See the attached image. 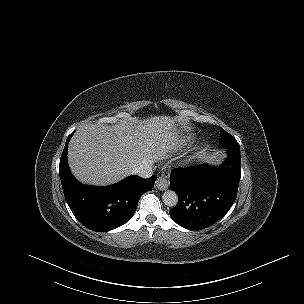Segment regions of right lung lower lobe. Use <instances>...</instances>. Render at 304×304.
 Wrapping results in <instances>:
<instances>
[{"mask_svg": "<svg viewBox=\"0 0 304 304\" xmlns=\"http://www.w3.org/2000/svg\"><path fill=\"white\" fill-rule=\"evenodd\" d=\"M72 132L60 159L59 174L65 199L77 220L90 230L105 232L128 222L137 208L140 197L150 191L156 176L143 179L129 176L106 187L82 185L72 176L67 150Z\"/></svg>", "mask_w": 304, "mask_h": 304, "instance_id": "1", "label": "right lung lower lobe"}]
</instances>
